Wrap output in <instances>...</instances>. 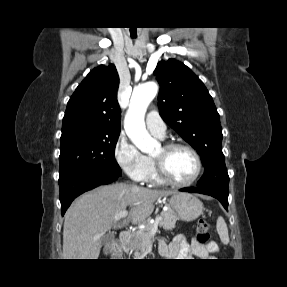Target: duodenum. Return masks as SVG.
<instances>
[{"instance_id":"duodenum-1","label":"duodenum","mask_w":287,"mask_h":287,"mask_svg":"<svg viewBox=\"0 0 287 287\" xmlns=\"http://www.w3.org/2000/svg\"><path fill=\"white\" fill-rule=\"evenodd\" d=\"M131 238H132V233L130 231H124L120 235V242H121L122 248L125 251L129 250V244H130Z\"/></svg>"}]
</instances>
